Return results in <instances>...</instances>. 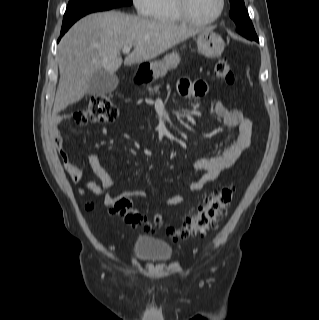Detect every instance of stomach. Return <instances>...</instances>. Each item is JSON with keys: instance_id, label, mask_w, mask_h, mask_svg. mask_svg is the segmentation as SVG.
Instances as JSON below:
<instances>
[{"instance_id": "obj_1", "label": "stomach", "mask_w": 319, "mask_h": 320, "mask_svg": "<svg viewBox=\"0 0 319 320\" xmlns=\"http://www.w3.org/2000/svg\"><path fill=\"white\" fill-rule=\"evenodd\" d=\"M198 52L208 58L219 57L225 48L222 37L212 29L201 31L197 36ZM181 61L178 53L167 54L161 61L149 63V72L153 79L164 77L169 70L177 68Z\"/></svg>"}]
</instances>
